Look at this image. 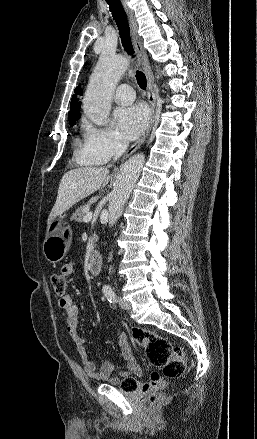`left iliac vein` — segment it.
Masks as SVG:
<instances>
[{"instance_id": "obj_1", "label": "left iliac vein", "mask_w": 257, "mask_h": 439, "mask_svg": "<svg viewBox=\"0 0 257 439\" xmlns=\"http://www.w3.org/2000/svg\"><path fill=\"white\" fill-rule=\"evenodd\" d=\"M118 303L122 309H125V310L131 309V303L129 301L125 300L124 298H121V297L118 298Z\"/></svg>"}]
</instances>
